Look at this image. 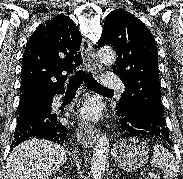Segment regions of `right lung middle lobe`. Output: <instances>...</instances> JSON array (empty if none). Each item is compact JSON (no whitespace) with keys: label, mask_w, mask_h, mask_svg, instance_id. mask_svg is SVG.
<instances>
[{"label":"right lung middle lobe","mask_w":183,"mask_h":179,"mask_svg":"<svg viewBox=\"0 0 183 179\" xmlns=\"http://www.w3.org/2000/svg\"><path fill=\"white\" fill-rule=\"evenodd\" d=\"M35 97V95H28V96H22L20 98L19 107H18V114H22L26 107L30 104L32 99Z\"/></svg>","instance_id":"obj_1"}]
</instances>
